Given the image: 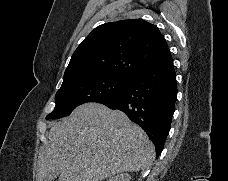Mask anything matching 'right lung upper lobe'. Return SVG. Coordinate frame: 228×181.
<instances>
[{"label":"right lung upper lobe","instance_id":"right-lung-upper-lobe-1","mask_svg":"<svg viewBox=\"0 0 228 181\" xmlns=\"http://www.w3.org/2000/svg\"><path fill=\"white\" fill-rule=\"evenodd\" d=\"M170 55L155 25L141 19L106 23L95 28L73 53L62 85L102 74L132 77Z\"/></svg>","mask_w":228,"mask_h":181}]
</instances>
